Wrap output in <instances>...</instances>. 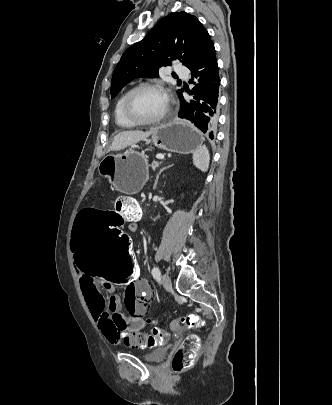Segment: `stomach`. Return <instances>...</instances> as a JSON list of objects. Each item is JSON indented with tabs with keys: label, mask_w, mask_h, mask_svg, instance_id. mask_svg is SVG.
<instances>
[{
	"label": "stomach",
	"mask_w": 332,
	"mask_h": 405,
	"mask_svg": "<svg viewBox=\"0 0 332 405\" xmlns=\"http://www.w3.org/2000/svg\"><path fill=\"white\" fill-rule=\"evenodd\" d=\"M149 141L159 149L187 154L202 146L203 136L187 121L174 120L159 126ZM98 171L116 190L135 194L141 190L148 178V163L145 156L139 152L127 150L123 154L106 156L100 162Z\"/></svg>",
	"instance_id": "0dacf381"
}]
</instances>
